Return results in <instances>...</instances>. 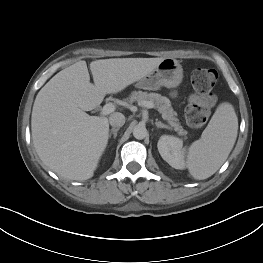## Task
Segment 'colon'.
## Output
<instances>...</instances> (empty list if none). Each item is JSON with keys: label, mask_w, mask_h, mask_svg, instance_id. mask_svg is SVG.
<instances>
[{"label": "colon", "mask_w": 263, "mask_h": 263, "mask_svg": "<svg viewBox=\"0 0 263 263\" xmlns=\"http://www.w3.org/2000/svg\"><path fill=\"white\" fill-rule=\"evenodd\" d=\"M217 72L209 68H196L191 73V83L200 98L191 103L186 110V120L189 126L200 128L205 125L212 104V90L217 81Z\"/></svg>", "instance_id": "colon-1"}]
</instances>
